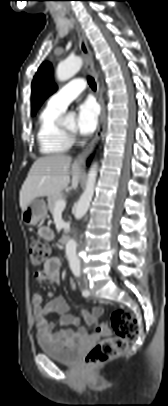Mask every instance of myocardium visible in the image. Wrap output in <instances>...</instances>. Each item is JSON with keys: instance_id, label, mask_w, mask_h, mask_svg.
I'll return each mask as SVG.
<instances>
[{"instance_id": "1", "label": "myocardium", "mask_w": 168, "mask_h": 406, "mask_svg": "<svg viewBox=\"0 0 168 406\" xmlns=\"http://www.w3.org/2000/svg\"><path fill=\"white\" fill-rule=\"evenodd\" d=\"M63 131L68 135V136H73L74 135V130H67L65 127H61Z\"/></svg>"}]
</instances>
